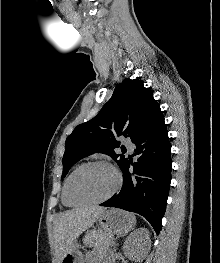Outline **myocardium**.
Here are the masks:
<instances>
[{
  "mask_svg": "<svg viewBox=\"0 0 220 263\" xmlns=\"http://www.w3.org/2000/svg\"><path fill=\"white\" fill-rule=\"evenodd\" d=\"M94 165H103L106 166L108 168H110L116 177V183L115 186L113 187V189L106 194L105 196L99 198V199H95V200H89V201H83V202H76L71 198L70 195V186H71V182L73 180V178L76 176V174H78L81 170L90 167V166H94ZM122 185V176L120 174V172L109 162L104 161V160H94V161H89L86 162L82 165H80L79 167H77L68 177L67 182H66V187H65V199L67 201V203L70 206H86V205H95V204H100L103 203L107 200H109L110 198H112L121 188Z\"/></svg>",
  "mask_w": 220,
  "mask_h": 263,
  "instance_id": "1",
  "label": "myocardium"
}]
</instances>
